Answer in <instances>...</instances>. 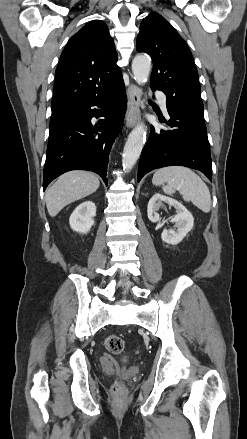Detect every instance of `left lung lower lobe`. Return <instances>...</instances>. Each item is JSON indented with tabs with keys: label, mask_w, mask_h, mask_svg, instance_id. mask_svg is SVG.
Segmentation results:
<instances>
[{
	"label": "left lung lower lobe",
	"mask_w": 247,
	"mask_h": 439,
	"mask_svg": "<svg viewBox=\"0 0 247 439\" xmlns=\"http://www.w3.org/2000/svg\"><path fill=\"white\" fill-rule=\"evenodd\" d=\"M167 110L170 119L159 120L168 129L151 126L149 139L139 161L138 182L149 171L172 165L200 170L212 181L210 146L204 116L172 109L168 105Z\"/></svg>",
	"instance_id": "0a47b994"
}]
</instances>
